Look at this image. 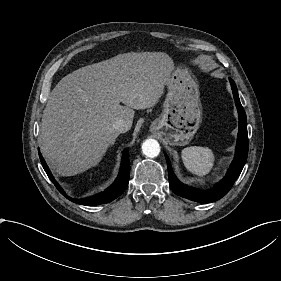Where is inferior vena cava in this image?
Segmentation results:
<instances>
[{"instance_id": "1", "label": "inferior vena cava", "mask_w": 281, "mask_h": 281, "mask_svg": "<svg viewBox=\"0 0 281 281\" xmlns=\"http://www.w3.org/2000/svg\"><path fill=\"white\" fill-rule=\"evenodd\" d=\"M113 128L119 133H125L131 128V124L123 119H119L113 124Z\"/></svg>"}]
</instances>
